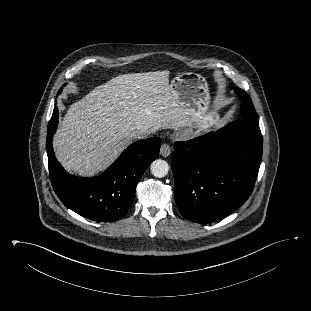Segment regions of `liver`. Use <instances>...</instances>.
I'll return each instance as SVG.
<instances>
[{
	"label": "liver",
	"mask_w": 311,
	"mask_h": 311,
	"mask_svg": "<svg viewBox=\"0 0 311 311\" xmlns=\"http://www.w3.org/2000/svg\"><path fill=\"white\" fill-rule=\"evenodd\" d=\"M169 75H119L73 103L53 140L62 166L92 176L114 161L133 133L190 125L193 112L178 100Z\"/></svg>",
	"instance_id": "obj_1"
}]
</instances>
